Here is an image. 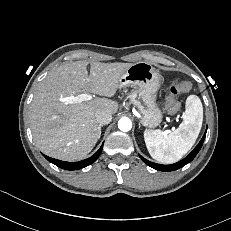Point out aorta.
Listing matches in <instances>:
<instances>
[{"label": "aorta", "instance_id": "1", "mask_svg": "<svg viewBox=\"0 0 231 231\" xmlns=\"http://www.w3.org/2000/svg\"><path fill=\"white\" fill-rule=\"evenodd\" d=\"M118 128L123 131V132H128L131 130L132 128V122L129 118H121L119 121H118Z\"/></svg>", "mask_w": 231, "mask_h": 231}]
</instances>
